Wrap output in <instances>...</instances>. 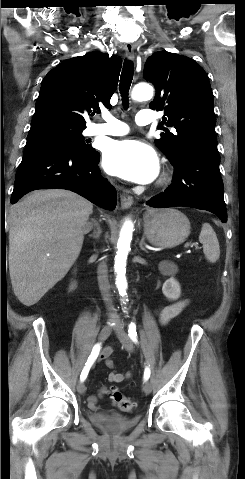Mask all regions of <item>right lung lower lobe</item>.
<instances>
[{"instance_id":"right-lung-lower-lobe-1","label":"right lung lower lobe","mask_w":245,"mask_h":479,"mask_svg":"<svg viewBox=\"0 0 245 479\" xmlns=\"http://www.w3.org/2000/svg\"><path fill=\"white\" fill-rule=\"evenodd\" d=\"M99 160L96 150L87 152L69 145H51L26 153L15 176L11 203L33 190L61 188L113 210L116 190L101 176Z\"/></svg>"}]
</instances>
